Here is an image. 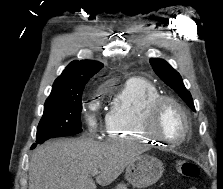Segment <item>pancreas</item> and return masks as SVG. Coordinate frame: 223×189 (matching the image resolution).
Returning <instances> with one entry per match:
<instances>
[{"label":"pancreas","instance_id":"obj_1","mask_svg":"<svg viewBox=\"0 0 223 189\" xmlns=\"http://www.w3.org/2000/svg\"><path fill=\"white\" fill-rule=\"evenodd\" d=\"M117 189H127V188H126V185H124V184H119V185L117 186Z\"/></svg>","mask_w":223,"mask_h":189}]
</instances>
